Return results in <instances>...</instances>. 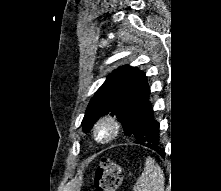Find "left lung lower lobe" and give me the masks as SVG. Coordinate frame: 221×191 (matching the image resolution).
<instances>
[{
  "mask_svg": "<svg viewBox=\"0 0 221 191\" xmlns=\"http://www.w3.org/2000/svg\"><path fill=\"white\" fill-rule=\"evenodd\" d=\"M149 95L150 87L146 76L142 71L138 70L131 95V113L134 119V130L139 132L142 139H146L148 143H151L147 147L163 155L159 123L154 119Z\"/></svg>",
  "mask_w": 221,
  "mask_h": 191,
  "instance_id": "1",
  "label": "left lung lower lobe"
}]
</instances>
